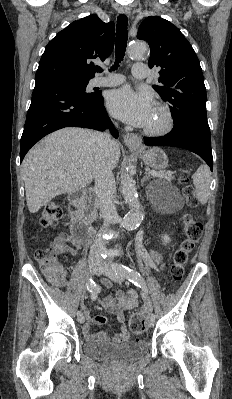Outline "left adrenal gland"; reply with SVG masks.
Returning a JSON list of instances; mask_svg holds the SVG:
<instances>
[{
    "label": "left adrenal gland",
    "mask_w": 232,
    "mask_h": 399,
    "mask_svg": "<svg viewBox=\"0 0 232 399\" xmlns=\"http://www.w3.org/2000/svg\"><path fill=\"white\" fill-rule=\"evenodd\" d=\"M145 180H146V178H143V180H141V186H143Z\"/></svg>",
    "instance_id": "obj_1"
}]
</instances>
